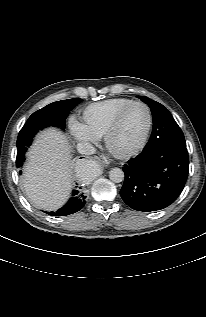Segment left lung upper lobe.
Segmentation results:
<instances>
[{"mask_svg":"<svg viewBox=\"0 0 206 317\" xmlns=\"http://www.w3.org/2000/svg\"><path fill=\"white\" fill-rule=\"evenodd\" d=\"M146 102L153 114V131L144 149L164 144L186 146L184 135L170 112L160 103L148 97H139Z\"/></svg>","mask_w":206,"mask_h":317,"instance_id":"left-lung-upper-lobe-1","label":"left lung upper lobe"}]
</instances>
